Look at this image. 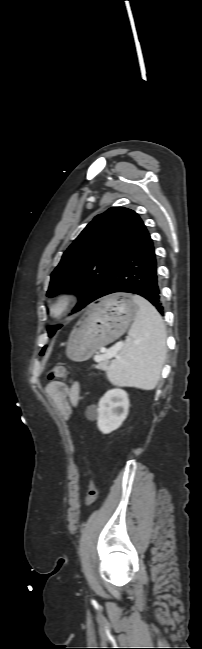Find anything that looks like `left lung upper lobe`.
Returning <instances> with one entry per match:
<instances>
[{"mask_svg": "<svg viewBox=\"0 0 202 649\" xmlns=\"http://www.w3.org/2000/svg\"><path fill=\"white\" fill-rule=\"evenodd\" d=\"M142 225L137 213L123 207H112L97 215L64 252L51 274L47 296L62 291L77 292L80 302L74 311L94 301ZM60 327H48V335L52 337Z\"/></svg>", "mask_w": 202, "mask_h": 649, "instance_id": "left-lung-upper-lobe-1", "label": "left lung upper lobe"}]
</instances>
